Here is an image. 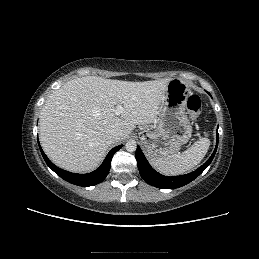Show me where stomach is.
I'll return each instance as SVG.
<instances>
[{
    "label": "stomach",
    "mask_w": 259,
    "mask_h": 259,
    "mask_svg": "<svg viewBox=\"0 0 259 259\" xmlns=\"http://www.w3.org/2000/svg\"><path fill=\"white\" fill-rule=\"evenodd\" d=\"M190 94L185 81L177 78L169 81L156 127L141 132L140 136L150 159L170 157L190 139L192 126L185 111Z\"/></svg>",
    "instance_id": "0dacf381"
}]
</instances>
